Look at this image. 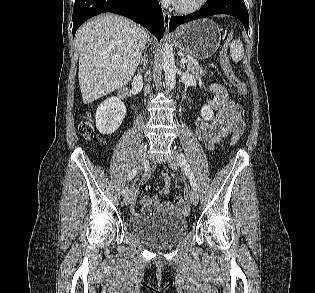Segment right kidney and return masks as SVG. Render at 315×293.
Returning <instances> with one entry per match:
<instances>
[{"instance_id": "ca27d5eb", "label": "right kidney", "mask_w": 315, "mask_h": 293, "mask_svg": "<svg viewBox=\"0 0 315 293\" xmlns=\"http://www.w3.org/2000/svg\"><path fill=\"white\" fill-rule=\"evenodd\" d=\"M126 115V107L117 97L103 101L97 108L96 128L103 135L114 133L121 125Z\"/></svg>"}]
</instances>
